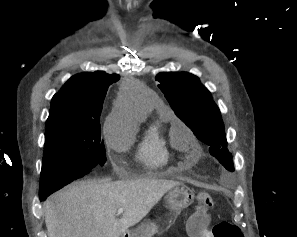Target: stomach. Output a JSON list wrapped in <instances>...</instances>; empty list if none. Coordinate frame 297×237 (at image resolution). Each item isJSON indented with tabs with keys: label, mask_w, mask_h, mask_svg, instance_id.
<instances>
[{
	"label": "stomach",
	"mask_w": 297,
	"mask_h": 237,
	"mask_svg": "<svg viewBox=\"0 0 297 237\" xmlns=\"http://www.w3.org/2000/svg\"><path fill=\"white\" fill-rule=\"evenodd\" d=\"M194 200V193L185 186H176L166 196L170 209L179 212L188 207ZM158 231L154 222H143L137 228L124 232L121 237H152Z\"/></svg>",
	"instance_id": "0dacf381"
}]
</instances>
